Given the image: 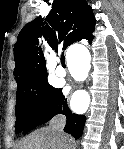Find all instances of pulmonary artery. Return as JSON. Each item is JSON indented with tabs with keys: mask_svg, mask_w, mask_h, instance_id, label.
I'll list each match as a JSON object with an SVG mask.
<instances>
[{
	"mask_svg": "<svg viewBox=\"0 0 124 149\" xmlns=\"http://www.w3.org/2000/svg\"><path fill=\"white\" fill-rule=\"evenodd\" d=\"M57 75H59V76H65L66 75V72H65V70L58 69L57 70Z\"/></svg>",
	"mask_w": 124,
	"mask_h": 149,
	"instance_id": "obj_1",
	"label": "pulmonary artery"
}]
</instances>
